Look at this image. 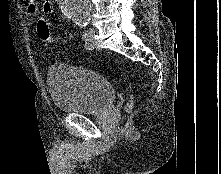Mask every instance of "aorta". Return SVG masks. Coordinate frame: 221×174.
<instances>
[{
  "instance_id": "aorta-1",
  "label": "aorta",
  "mask_w": 221,
  "mask_h": 174,
  "mask_svg": "<svg viewBox=\"0 0 221 174\" xmlns=\"http://www.w3.org/2000/svg\"><path fill=\"white\" fill-rule=\"evenodd\" d=\"M61 11L75 21L85 22L90 17V0H59Z\"/></svg>"
}]
</instances>
